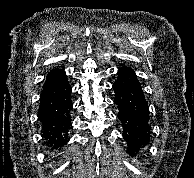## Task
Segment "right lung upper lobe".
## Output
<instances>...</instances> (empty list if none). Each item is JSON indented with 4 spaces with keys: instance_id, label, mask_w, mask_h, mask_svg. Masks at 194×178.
<instances>
[{
    "instance_id": "1",
    "label": "right lung upper lobe",
    "mask_w": 194,
    "mask_h": 178,
    "mask_svg": "<svg viewBox=\"0 0 194 178\" xmlns=\"http://www.w3.org/2000/svg\"><path fill=\"white\" fill-rule=\"evenodd\" d=\"M61 71H62V70L55 68V69H53L52 71H50V72L48 73L47 77L55 76V75L59 74Z\"/></svg>"
}]
</instances>
